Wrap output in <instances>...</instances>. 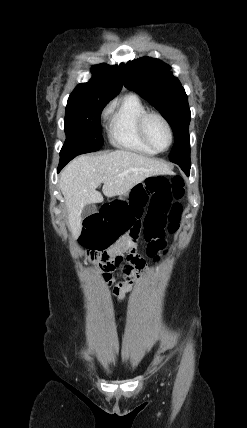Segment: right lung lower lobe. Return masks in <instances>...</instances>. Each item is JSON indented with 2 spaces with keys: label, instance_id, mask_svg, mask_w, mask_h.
I'll return each instance as SVG.
<instances>
[{
  "label": "right lung lower lobe",
  "instance_id": "1",
  "mask_svg": "<svg viewBox=\"0 0 247 428\" xmlns=\"http://www.w3.org/2000/svg\"><path fill=\"white\" fill-rule=\"evenodd\" d=\"M74 157L76 156L60 157V163H59L57 172H59Z\"/></svg>",
  "mask_w": 247,
  "mask_h": 428
}]
</instances>
